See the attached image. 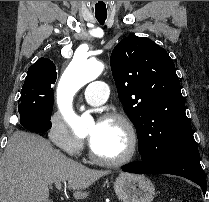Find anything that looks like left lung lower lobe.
I'll return each mask as SVG.
<instances>
[{"label": "left lung lower lobe", "mask_w": 209, "mask_h": 202, "mask_svg": "<svg viewBox=\"0 0 209 202\" xmlns=\"http://www.w3.org/2000/svg\"><path fill=\"white\" fill-rule=\"evenodd\" d=\"M142 157L141 162H133L122 168L124 172L139 174H173L187 178L198 184L206 193L207 184L200 164L198 147L195 140L178 147L172 154L162 160L152 161Z\"/></svg>", "instance_id": "obj_1"}]
</instances>
